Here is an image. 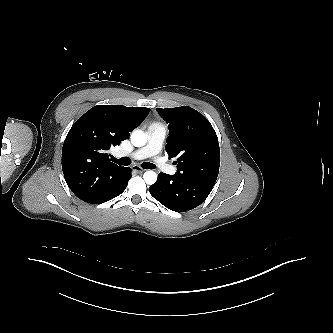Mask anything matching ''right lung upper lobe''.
<instances>
[{
	"mask_svg": "<svg viewBox=\"0 0 333 333\" xmlns=\"http://www.w3.org/2000/svg\"><path fill=\"white\" fill-rule=\"evenodd\" d=\"M149 108L98 105L71 127L62 149V170L72 192L89 201L124 169L109 161L108 150L129 137Z\"/></svg>",
	"mask_w": 333,
	"mask_h": 333,
	"instance_id": "cb5924a9",
	"label": "right lung upper lobe"
}]
</instances>
